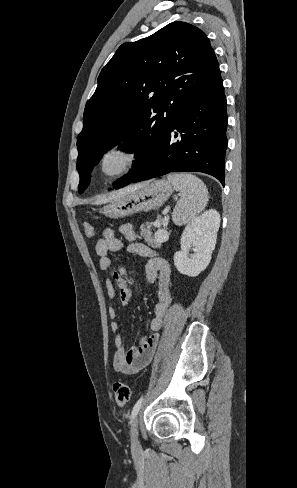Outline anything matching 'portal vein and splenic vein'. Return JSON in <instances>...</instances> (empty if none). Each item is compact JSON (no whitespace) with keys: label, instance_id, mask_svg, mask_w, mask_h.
<instances>
[{"label":"portal vein and splenic vein","instance_id":"portal-vein-and-splenic-vein-1","mask_svg":"<svg viewBox=\"0 0 297 488\" xmlns=\"http://www.w3.org/2000/svg\"><path fill=\"white\" fill-rule=\"evenodd\" d=\"M163 215H164V220L167 221L169 219V216H167V210L163 211ZM158 233L159 232L156 233V237L158 236Z\"/></svg>","mask_w":297,"mask_h":488}]
</instances>
